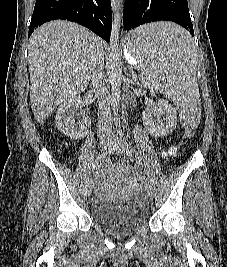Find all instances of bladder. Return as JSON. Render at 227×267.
<instances>
[{
    "label": "bladder",
    "mask_w": 227,
    "mask_h": 267,
    "mask_svg": "<svg viewBox=\"0 0 227 267\" xmlns=\"http://www.w3.org/2000/svg\"><path fill=\"white\" fill-rule=\"evenodd\" d=\"M91 217L109 233L122 236L141 228L149 218V210L137 196L125 200L97 199L91 206Z\"/></svg>",
    "instance_id": "31cf9c89"
}]
</instances>
